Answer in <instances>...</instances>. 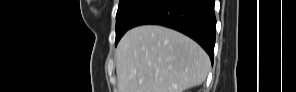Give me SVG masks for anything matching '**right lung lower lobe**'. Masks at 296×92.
I'll list each match as a JSON object with an SVG mask.
<instances>
[{"mask_svg": "<svg viewBox=\"0 0 296 92\" xmlns=\"http://www.w3.org/2000/svg\"><path fill=\"white\" fill-rule=\"evenodd\" d=\"M143 24L162 25L188 35L204 48L213 62L214 0H154L134 20L132 27Z\"/></svg>", "mask_w": 296, "mask_h": 92, "instance_id": "98d812e1", "label": "right lung lower lobe"}]
</instances>
